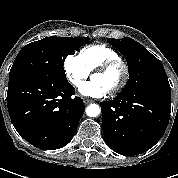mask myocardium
<instances>
[{"instance_id": "1", "label": "myocardium", "mask_w": 178, "mask_h": 178, "mask_svg": "<svg viewBox=\"0 0 178 178\" xmlns=\"http://www.w3.org/2000/svg\"><path fill=\"white\" fill-rule=\"evenodd\" d=\"M116 67H120L122 69L123 75L120 82L117 84V86L108 92L109 95H115L119 93L126 86L130 74L128 64L120 58L113 59L101 64L92 72V77H93L95 74L105 73Z\"/></svg>"}]
</instances>
